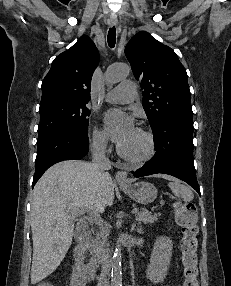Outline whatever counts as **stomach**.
Segmentation results:
<instances>
[{"label":"stomach","instance_id":"stomach-1","mask_svg":"<svg viewBox=\"0 0 231 286\" xmlns=\"http://www.w3.org/2000/svg\"><path fill=\"white\" fill-rule=\"evenodd\" d=\"M120 188L131 199L140 204L151 203L157 197L156 187L153 184L145 181L131 183L129 186L120 185Z\"/></svg>","mask_w":231,"mask_h":286}]
</instances>
